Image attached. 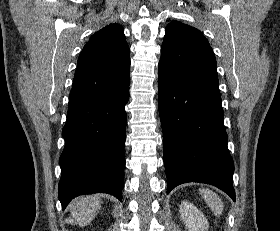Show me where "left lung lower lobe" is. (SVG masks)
Returning a JSON list of instances; mask_svg holds the SVG:
<instances>
[{
  "label": "left lung lower lobe",
  "mask_w": 280,
  "mask_h": 231,
  "mask_svg": "<svg viewBox=\"0 0 280 231\" xmlns=\"http://www.w3.org/2000/svg\"><path fill=\"white\" fill-rule=\"evenodd\" d=\"M158 97L167 193L180 184L198 182L220 188L235 201L234 163L218 85L181 83L159 72Z\"/></svg>",
  "instance_id": "0a47b994"
}]
</instances>
